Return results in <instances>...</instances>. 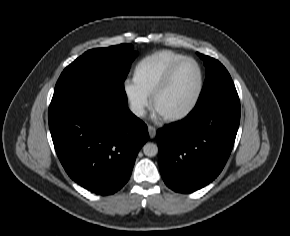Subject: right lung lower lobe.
Wrapping results in <instances>:
<instances>
[{"mask_svg":"<svg viewBox=\"0 0 290 236\" xmlns=\"http://www.w3.org/2000/svg\"><path fill=\"white\" fill-rule=\"evenodd\" d=\"M49 127L67 174L100 195L113 194L125 185L149 138L147 126L130 112L127 102H51Z\"/></svg>","mask_w":290,"mask_h":236,"instance_id":"right-lung-lower-lobe-1","label":"right lung lower lobe"}]
</instances>
